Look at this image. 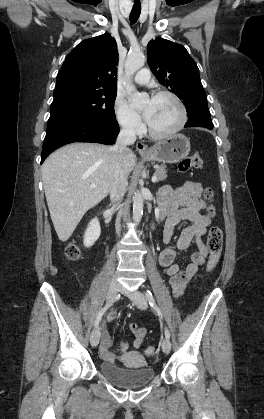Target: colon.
Masks as SVG:
<instances>
[{"instance_id":"5ec220e1","label":"colon","mask_w":264,"mask_h":419,"mask_svg":"<svg viewBox=\"0 0 264 419\" xmlns=\"http://www.w3.org/2000/svg\"><path fill=\"white\" fill-rule=\"evenodd\" d=\"M202 165V159L198 154H193L185 157L178 163V170L181 173H189L195 169L200 168ZM204 196L207 200L212 199V190L206 188L204 191ZM210 216H214L215 211L212 205L207 209ZM223 243L222 230L218 226H213L207 235V249L209 251L210 257L207 263V272L211 273L219 260ZM66 256L69 260H77L80 257V250L76 245H70L66 249ZM157 351L154 346H149L145 354L148 357H154Z\"/></svg>"}]
</instances>
